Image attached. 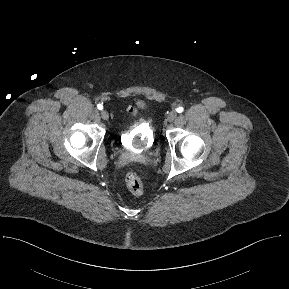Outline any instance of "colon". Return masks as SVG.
Returning <instances> with one entry per match:
<instances>
[{"label":"colon","instance_id":"1","mask_svg":"<svg viewBox=\"0 0 289 289\" xmlns=\"http://www.w3.org/2000/svg\"><path fill=\"white\" fill-rule=\"evenodd\" d=\"M143 107H144V104L141 102L137 103L136 105L131 106L129 108V112L131 113V117L135 118L137 115V109L143 108ZM149 131H150V129L147 128L146 125H144L142 127V132H141V135L139 138V142H141V138L146 136ZM122 141L126 147H128L132 151H135L136 146H134L133 143L130 144L129 142L124 140L123 137H122ZM124 181H125L126 187L133 195L139 196L143 193L142 181H141L140 177L135 172L127 171L125 173V176H124Z\"/></svg>","mask_w":289,"mask_h":289}]
</instances>
